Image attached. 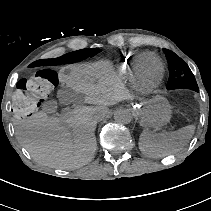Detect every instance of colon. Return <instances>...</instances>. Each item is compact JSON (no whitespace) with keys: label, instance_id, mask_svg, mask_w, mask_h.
Here are the masks:
<instances>
[{"label":"colon","instance_id":"5ec220e1","mask_svg":"<svg viewBox=\"0 0 211 211\" xmlns=\"http://www.w3.org/2000/svg\"><path fill=\"white\" fill-rule=\"evenodd\" d=\"M58 82L57 73L51 69H40L33 76L20 80L12 97L14 117L23 120L35 114Z\"/></svg>","mask_w":211,"mask_h":211}]
</instances>
